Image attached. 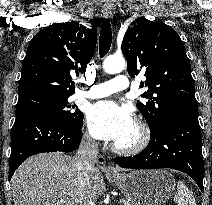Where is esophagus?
<instances>
[{
	"label": "esophagus",
	"mask_w": 212,
	"mask_h": 205,
	"mask_svg": "<svg viewBox=\"0 0 212 205\" xmlns=\"http://www.w3.org/2000/svg\"><path fill=\"white\" fill-rule=\"evenodd\" d=\"M102 13L105 18H111L113 14L111 6L109 4H104L102 8ZM107 172L110 174H118L119 171L113 165H109Z\"/></svg>",
	"instance_id": "34e87169"
}]
</instances>
